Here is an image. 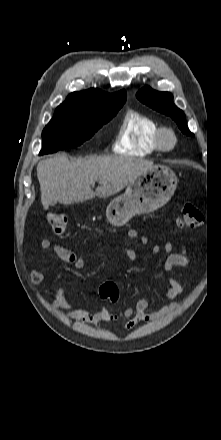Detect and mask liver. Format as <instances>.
I'll return each mask as SVG.
<instances>
[{"mask_svg":"<svg viewBox=\"0 0 221 440\" xmlns=\"http://www.w3.org/2000/svg\"><path fill=\"white\" fill-rule=\"evenodd\" d=\"M153 163L144 159L114 156L69 161L59 154L37 165L41 202L47 210L52 203L68 205L95 196L106 198L124 189ZM101 185L94 192L91 186Z\"/></svg>","mask_w":221,"mask_h":440,"instance_id":"obj_1","label":"liver"}]
</instances>
